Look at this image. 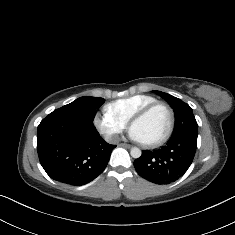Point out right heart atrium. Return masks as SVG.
Returning a JSON list of instances; mask_svg holds the SVG:
<instances>
[{
	"label": "right heart atrium",
	"instance_id": "obj_1",
	"mask_svg": "<svg viewBox=\"0 0 235 235\" xmlns=\"http://www.w3.org/2000/svg\"><path fill=\"white\" fill-rule=\"evenodd\" d=\"M93 124L97 131L107 140L114 141L128 125V122L117 116L110 104H105L101 109L93 115Z\"/></svg>",
	"mask_w": 235,
	"mask_h": 235
}]
</instances>
